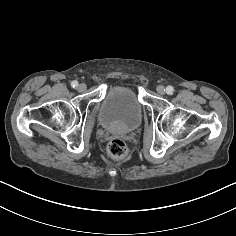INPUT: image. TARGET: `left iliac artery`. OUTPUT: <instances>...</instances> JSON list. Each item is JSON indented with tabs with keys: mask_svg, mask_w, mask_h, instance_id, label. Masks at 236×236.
<instances>
[{
	"mask_svg": "<svg viewBox=\"0 0 236 236\" xmlns=\"http://www.w3.org/2000/svg\"><path fill=\"white\" fill-rule=\"evenodd\" d=\"M174 92V88L172 86H167L166 87V93L169 95H172Z\"/></svg>",
	"mask_w": 236,
	"mask_h": 236,
	"instance_id": "44dca946",
	"label": "left iliac artery"
}]
</instances>
